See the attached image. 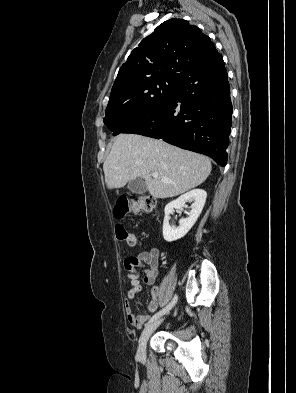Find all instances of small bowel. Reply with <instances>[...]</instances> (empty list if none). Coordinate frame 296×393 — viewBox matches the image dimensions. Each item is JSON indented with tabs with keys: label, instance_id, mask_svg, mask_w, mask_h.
<instances>
[{
	"label": "small bowel",
	"instance_id": "obj_1",
	"mask_svg": "<svg viewBox=\"0 0 296 393\" xmlns=\"http://www.w3.org/2000/svg\"><path fill=\"white\" fill-rule=\"evenodd\" d=\"M124 270L130 280V288L125 295V310L127 320L131 326L140 329L149 319L146 314L136 315L131 310V301L135 295L142 290V282L147 285H153L159 271V250L152 247L149 250L142 251L136 256H128L124 260ZM151 300L147 304V310L150 313L156 312L159 307V297L161 290L159 287H152Z\"/></svg>",
	"mask_w": 296,
	"mask_h": 393
}]
</instances>
